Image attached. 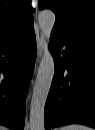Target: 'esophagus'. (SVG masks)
<instances>
[{"mask_svg":"<svg viewBox=\"0 0 95 130\" xmlns=\"http://www.w3.org/2000/svg\"><path fill=\"white\" fill-rule=\"evenodd\" d=\"M47 43L43 34L38 38V62L40 61L43 53L46 51Z\"/></svg>","mask_w":95,"mask_h":130,"instance_id":"34e87169","label":"esophagus"}]
</instances>
